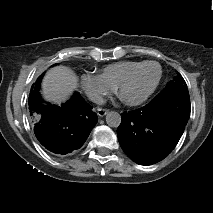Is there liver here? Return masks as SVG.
<instances>
[{"label":"liver","mask_w":213,"mask_h":213,"mask_svg":"<svg viewBox=\"0 0 213 213\" xmlns=\"http://www.w3.org/2000/svg\"><path fill=\"white\" fill-rule=\"evenodd\" d=\"M78 77L66 66L50 69L42 81V94L47 101L61 104L77 88Z\"/></svg>","instance_id":"obj_1"}]
</instances>
